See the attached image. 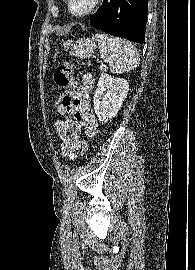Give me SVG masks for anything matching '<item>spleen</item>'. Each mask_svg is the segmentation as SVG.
Here are the masks:
<instances>
[{"label": "spleen", "instance_id": "1", "mask_svg": "<svg viewBox=\"0 0 195 270\" xmlns=\"http://www.w3.org/2000/svg\"><path fill=\"white\" fill-rule=\"evenodd\" d=\"M95 38L100 56L109 63L112 73L121 74L138 66L139 52L132 43L106 33H97Z\"/></svg>", "mask_w": 195, "mask_h": 270}]
</instances>
